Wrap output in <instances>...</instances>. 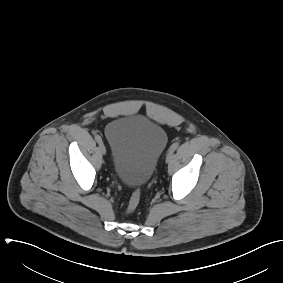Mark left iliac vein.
I'll return each mask as SVG.
<instances>
[{
    "label": "left iliac vein",
    "instance_id": "left-iliac-vein-1",
    "mask_svg": "<svg viewBox=\"0 0 283 283\" xmlns=\"http://www.w3.org/2000/svg\"><path fill=\"white\" fill-rule=\"evenodd\" d=\"M172 155H173L172 152L167 154V156H166V161H167V162H169V161L171 160Z\"/></svg>",
    "mask_w": 283,
    "mask_h": 283
}]
</instances>
